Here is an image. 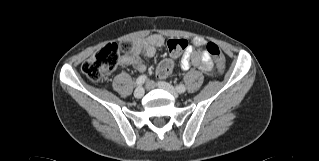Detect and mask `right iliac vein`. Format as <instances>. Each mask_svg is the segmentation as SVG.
<instances>
[{
    "instance_id": "63e3f726",
    "label": "right iliac vein",
    "mask_w": 319,
    "mask_h": 161,
    "mask_svg": "<svg viewBox=\"0 0 319 161\" xmlns=\"http://www.w3.org/2000/svg\"><path fill=\"white\" fill-rule=\"evenodd\" d=\"M144 95V88L143 87H138L134 91V96L137 99H140Z\"/></svg>"
}]
</instances>
